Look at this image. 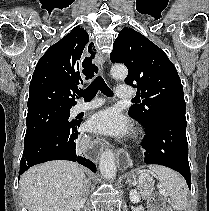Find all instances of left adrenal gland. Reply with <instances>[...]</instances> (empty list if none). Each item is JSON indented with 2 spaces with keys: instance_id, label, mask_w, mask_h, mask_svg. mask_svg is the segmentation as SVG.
<instances>
[{
  "instance_id": "1",
  "label": "left adrenal gland",
  "mask_w": 209,
  "mask_h": 211,
  "mask_svg": "<svg viewBox=\"0 0 209 211\" xmlns=\"http://www.w3.org/2000/svg\"><path fill=\"white\" fill-rule=\"evenodd\" d=\"M127 182L129 184V186H131V184H132L131 180H128Z\"/></svg>"
}]
</instances>
